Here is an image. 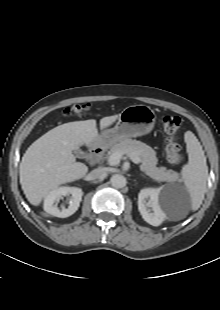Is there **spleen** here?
I'll list each match as a JSON object with an SVG mask.
<instances>
[{"label": "spleen", "mask_w": 220, "mask_h": 310, "mask_svg": "<svg viewBox=\"0 0 220 310\" xmlns=\"http://www.w3.org/2000/svg\"><path fill=\"white\" fill-rule=\"evenodd\" d=\"M185 142L188 152V164L183 166L181 175L182 181L190 194L191 209L196 211L204 199L208 166L202 146L191 131L185 133Z\"/></svg>", "instance_id": "spleen-1"}]
</instances>
